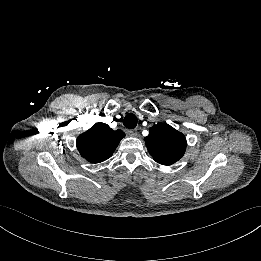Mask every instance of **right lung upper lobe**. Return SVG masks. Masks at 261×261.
<instances>
[{
  "instance_id": "obj_1",
  "label": "right lung upper lobe",
  "mask_w": 261,
  "mask_h": 261,
  "mask_svg": "<svg viewBox=\"0 0 261 261\" xmlns=\"http://www.w3.org/2000/svg\"><path fill=\"white\" fill-rule=\"evenodd\" d=\"M125 136L121 130H112L107 124L96 123L77 138V149L91 163L110 158L120 140Z\"/></svg>"
}]
</instances>
